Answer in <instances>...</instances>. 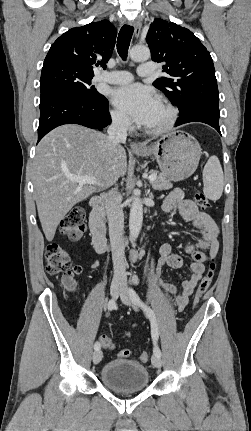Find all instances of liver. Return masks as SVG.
<instances>
[{"label": "liver", "mask_w": 251, "mask_h": 431, "mask_svg": "<svg viewBox=\"0 0 251 431\" xmlns=\"http://www.w3.org/2000/svg\"><path fill=\"white\" fill-rule=\"evenodd\" d=\"M127 171L122 146L113 147L108 136L77 124L62 125L38 144L32 179L38 216L51 242L65 215L77 203L109 187ZM68 176H92L98 184H79Z\"/></svg>", "instance_id": "1"}]
</instances>
